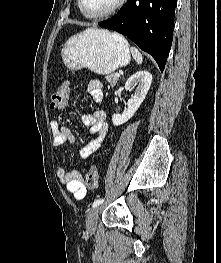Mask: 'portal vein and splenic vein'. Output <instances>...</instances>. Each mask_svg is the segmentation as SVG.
<instances>
[{"instance_id": "portal-vein-and-splenic-vein-1", "label": "portal vein and splenic vein", "mask_w": 221, "mask_h": 263, "mask_svg": "<svg viewBox=\"0 0 221 263\" xmlns=\"http://www.w3.org/2000/svg\"><path fill=\"white\" fill-rule=\"evenodd\" d=\"M115 77H120V73H115Z\"/></svg>"}]
</instances>
